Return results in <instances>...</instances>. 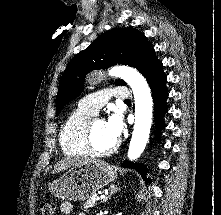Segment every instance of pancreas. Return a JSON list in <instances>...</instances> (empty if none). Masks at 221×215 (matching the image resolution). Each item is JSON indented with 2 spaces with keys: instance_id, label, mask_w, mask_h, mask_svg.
<instances>
[{
  "instance_id": "1",
  "label": "pancreas",
  "mask_w": 221,
  "mask_h": 215,
  "mask_svg": "<svg viewBox=\"0 0 221 215\" xmlns=\"http://www.w3.org/2000/svg\"><path fill=\"white\" fill-rule=\"evenodd\" d=\"M94 196L96 195H93L91 196L83 205L84 209H88V208H91V207H94L95 204H96V200L93 198Z\"/></svg>"
}]
</instances>
